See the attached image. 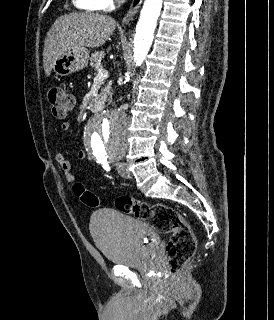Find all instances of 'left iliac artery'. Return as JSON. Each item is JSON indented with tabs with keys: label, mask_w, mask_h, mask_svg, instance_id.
<instances>
[{
	"label": "left iliac artery",
	"mask_w": 274,
	"mask_h": 320,
	"mask_svg": "<svg viewBox=\"0 0 274 320\" xmlns=\"http://www.w3.org/2000/svg\"><path fill=\"white\" fill-rule=\"evenodd\" d=\"M101 163H102V165H103V167H104V169H105V170H107V171H109V170H110V168H109V165H108L107 161L103 160V161H101Z\"/></svg>",
	"instance_id": "left-iliac-artery-1"
}]
</instances>
